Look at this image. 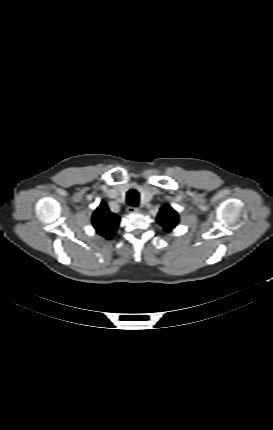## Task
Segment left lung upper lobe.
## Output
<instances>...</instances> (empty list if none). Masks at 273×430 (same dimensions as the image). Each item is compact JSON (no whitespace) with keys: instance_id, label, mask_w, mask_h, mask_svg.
<instances>
[{"instance_id":"1","label":"left lung upper lobe","mask_w":273,"mask_h":430,"mask_svg":"<svg viewBox=\"0 0 273 430\" xmlns=\"http://www.w3.org/2000/svg\"><path fill=\"white\" fill-rule=\"evenodd\" d=\"M157 221L166 231L169 232L177 225L178 214L172 207L165 205L160 209Z\"/></svg>"}]
</instances>
